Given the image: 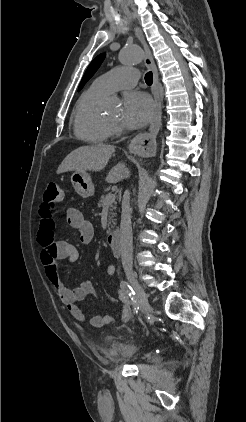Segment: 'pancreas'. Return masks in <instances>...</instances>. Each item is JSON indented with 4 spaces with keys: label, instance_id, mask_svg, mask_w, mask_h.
<instances>
[{
    "label": "pancreas",
    "instance_id": "pancreas-1",
    "mask_svg": "<svg viewBox=\"0 0 246 422\" xmlns=\"http://www.w3.org/2000/svg\"><path fill=\"white\" fill-rule=\"evenodd\" d=\"M109 195V194H108ZM108 195H102L100 198V202H99V207H104L106 205V200ZM110 207V211H109V224H108V230L107 233H109L111 231V229L113 228V226L111 225V223H114L115 221V216L116 214L114 213V211L116 210V202H113L111 204L108 205Z\"/></svg>",
    "mask_w": 246,
    "mask_h": 422
}]
</instances>
